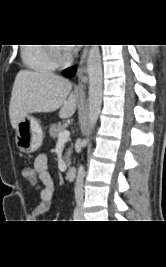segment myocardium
<instances>
[{
	"mask_svg": "<svg viewBox=\"0 0 166 267\" xmlns=\"http://www.w3.org/2000/svg\"><path fill=\"white\" fill-rule=\"evenodd\" d=\"M49 54L52 60L57 65H65L70 61L69 55H67L61 46H48Z\"/></svg>",
	"mask_w": 166,
	"mask_h": 267,
	"instance_id": "f54148a6",
	"label": "myocardium"
}]
</instances>
